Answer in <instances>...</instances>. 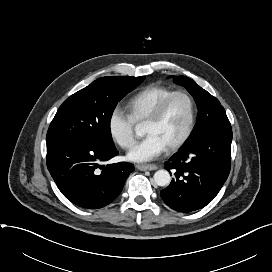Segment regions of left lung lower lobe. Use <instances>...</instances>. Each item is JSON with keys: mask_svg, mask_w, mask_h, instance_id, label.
<instances>
[{"mask_svg": "<svg viewBox=\"0 0 272 272\" xmlns=\"http://www.w3.org/2000/svg\"><path fill=\"white\" fill-rule=\"evenodd\" d=\"M232 130L200 137L174 154L165 168L175 178L160 192L163 201L179 212H191L211 202L225 183L231 167Z\"/></svg>", "mask_w": 272, "mask_h": 272, "instance_id": "1", "label": "left lung lower lobe"}]
</instances>
